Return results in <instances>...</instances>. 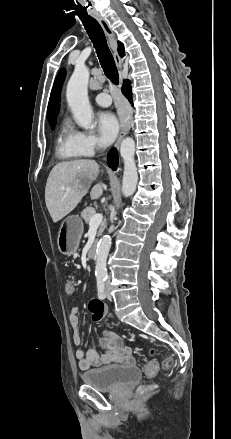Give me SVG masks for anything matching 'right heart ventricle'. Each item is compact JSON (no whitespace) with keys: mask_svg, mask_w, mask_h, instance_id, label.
I'll return each mask as SVG.
<instances>
[{"mask_svg":"<svg viewBox=\"0 0 231 439\" xmlns=\"http://www.w3.org/2000/svg\"><path fill=\"white\" fill-rule=\"evenodd\" d=\"M56 153L58 157L66 160L82 156L76 145L75 131L68 123H64L61 127L56 141Z\"/></svg>","mask_w":231,"mask_h":439,"instance_id":"right-heart-ventricle-1","label":"right heart ventricle"}]
</instances>
